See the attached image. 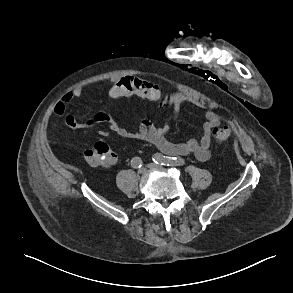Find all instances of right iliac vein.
Returning a JSON list of instances; mask_svg holds the SVG:
<instances>
[{"mask_svg":"<svg viewBox=\"0 0 293 293\" xmlns=\"http://www.w3.org/2000/svg\"><path fill=\"white\" fill-rule=\"evenodd\" d=\"M145 171H146V169L144 167H142L138 170V173L143 174V173H145Z\"/></svg>","mask_w":293,"mask_h":293,"instance_id":"obj_1","label":"right iliac vein"}]
</instances>
